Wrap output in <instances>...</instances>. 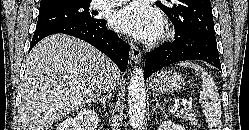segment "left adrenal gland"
<instances>
[{"mask_svg": "<svg viewBox=\"0 0 249 130\" xmlns=\"http://www.w3.org/2000/svg\"><path fill=\"white\" fill-rule=\"evenodd\" d=\"M155 101H156V105L154 106V111L157 109V108H160L161 109V106H160V104H159V101H158V99H157V97H155Z\"/></svg>", "mask_w": 249, "mask_h": 130, "instance_id": "1", "label": "left adrenal gland"}]
</instances>
